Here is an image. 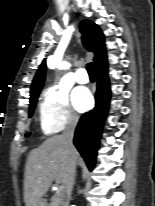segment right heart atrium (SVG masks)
<instances>
[{"mask_svg":"<svg viewBox=\"0 0 155 206\" xmlns=\"http://www.w3.org/2000/svg\"><path fill=\"white\" fill-rule=\"evenodd\" d=\"M39 120L43 133L54 134L77 124L67 93L58 86L46 88L39 105Z\"/></svg>","mask_w":155,"mask_h":206,"instance_id":"1","label":"right heart atrium"}]
</instances>
